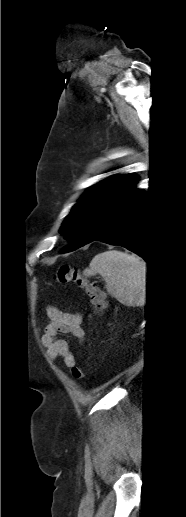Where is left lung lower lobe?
I'll return each mask as SVG.
<instances>
[{
  "instance_id": "0a47b994",
  "label": "left lung lower lobe",
  "mask_w": 186,
  "mask_h": 517,
  "mask_svg": "<svg viewBox=\"0 0 186 517\" xmlns=\"http://www.w3.org/2000/svg\"><path fill=\"white\" fill-rule=\"evenodd\" d=\"M145 225V195L133 186L103 216L88 243L101 241L123 246L150 264V253L145 246Z\"/></svg>"
}]
</instances>
